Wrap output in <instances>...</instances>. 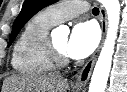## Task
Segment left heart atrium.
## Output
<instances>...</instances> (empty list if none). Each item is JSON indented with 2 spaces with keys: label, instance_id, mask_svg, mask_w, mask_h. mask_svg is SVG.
<instances>
[{
  "label": "left heart atrium",
  "instance_id": "39dd6f15",
  "mask_svg": "<svg viewBox=\"0 0 127 92\" xmlns=\"http://www.w3.org/2000/svg\"><path fill=\"white\" fill-rule=\"evenodd\" d=\"M99 42V31L93 22L76 24L66 46V53L74 59H82L90 55Z\"/></svg>",
  "mask_w": 127,
  "mask_h": 92
}]
</instances>
